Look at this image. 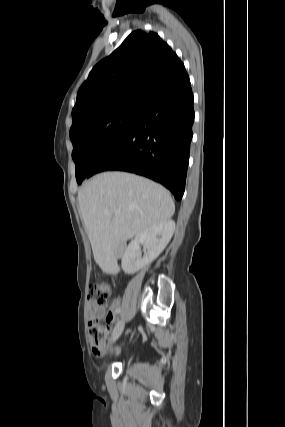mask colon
I'll return each mask as SVG.
<instances>
[{"instance_id":"1","label":"colon","mask_w":285,"mask_h":427,"mask_svg":"<svg viewBox=\"0 0 285 427\" xmlns=\"http://www.w3.org/2000/svg\"><path fill=\"white\" fill-rule=\"evenodd\" d=\"M111 292V285L105 281H94L89 285L88 298L98 304H104ZM93 350L99 354L109 342V328L100 325L96 320L92 321L89 328Z\"/></svg>"}]
</instances>
